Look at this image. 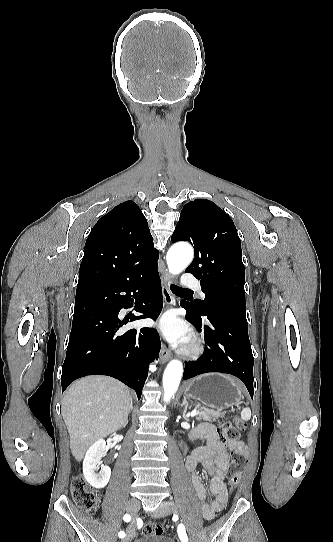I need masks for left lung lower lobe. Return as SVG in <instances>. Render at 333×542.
<instances>
[{
    "label": "left lung lower lobe",
    "instance_id": "1",
    "mask_svg": "<svg viewBox=\"0 0 333 542\" xmlns=\"http://www.w3.org/2000/svg\"><path fill=\"white\" fill-rule=\"evenodd\" d=\"M190 301L180 305L187 311L186 319L204 335L206 342L203 355L185 363L183 379L208 372L232 374L243 381L253 396L254 358L248 337L246 310L223 306L215 310L206 323L196 320Z\"/></svg>",
    "mask_w": 333,
    "mask_h": 542
}]
</instances>
